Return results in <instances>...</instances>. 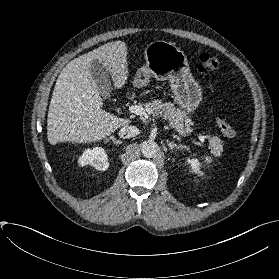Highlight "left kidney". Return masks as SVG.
I'll list each match as a JSON object with an SVG mask.
<instances>
[{
  "label": "left kidney",
  "mask_w": 279,
  "mask_h": 279,
  "mask_svg": "<svg viewBox=\"0 0 279 279\" xmlns=\"http://www.w3.org/2000/svg\"><path fill=\"white\" fill-rule=\"evenodd\" d=\"M206 164H210L212 162L211 157H205ZM186 163L190 167V172L197 174L198 176H203V172L200 170L201 163L197 158H187Z\"/></svg>",
  "instance_id": "1"
}]
</instances>
